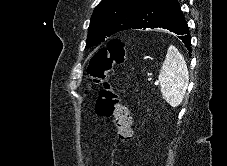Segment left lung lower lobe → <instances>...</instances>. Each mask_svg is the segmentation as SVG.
<instances>
[{"label": "left lung lower lobe", "instance_id": "0a47b994", "mask_svg": "<svg viewBox=\"0 0 227 166\" xmlns=\"http://www.w3.org/2000/svg\"><path fill=\"white\" fill-rule=\"evenodd\" d=\"M163 28L177 35L191 52L189 28L177 0H147L130 29Z\"/></svg>", "mask_w": 227, "mask_h": 166}]
</instances>
